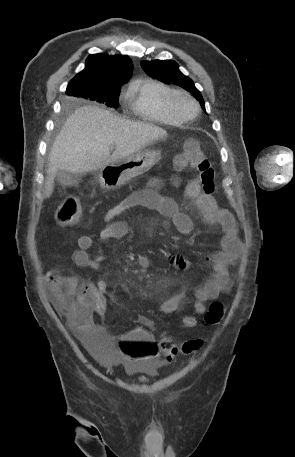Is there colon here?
Masks as SVG:
<instances>
[{"mask_svg":"<svg viewBox=\"0 0 295 457\" xmlns=\"http://www.w3.org/2000/svg\"><path fill=\"white\" fill-rule=\"evenodd\" d=\"M174 164L178 170H196L199 173L203 193L213 197L215 174L198 140H186ZM81 214L82 208L79 201L75 197H68L58 207L56 219L60 225L70 226L80 220ZM53 276L56 282L55 294L64 311L74 319L85 317L89 311L87 286L79 283L72 276L57 273ZM223 316V305L220 302H213L205 314V322L215 325L222 320ZM121 338L122 341L116 347V354L122 361L133 363H148L160 359L166 363H173L180 360L181 355H192L201 346V342L197 339L178 342L169 340L161 343L159 348L157 342L151 340V330H128L127 333H122Z\"/></svg>","mask_w":295,"mask_h":457,"instance_id":"1","label":"colon"}]
</instances>
